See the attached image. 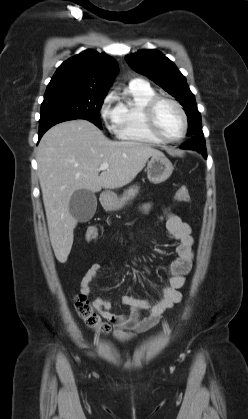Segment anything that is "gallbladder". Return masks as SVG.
<instances>
[{
	"instance_id": "obj_1",
	"label": "gallbladder",
	"mask_w": 248,
	"mask_h": 419,
	"mask_svg": "<svg viewBox=\"0 0 248 419\" xmlns=\"http://www.w3.org/2000/svg\"><path fill=\"white\" fill-rule=\"evenodd\" d=\"M96 207V195L87 189L75 191L69 202V211L78 222L89 221L94 216Z\"/></svg>"
}]
</instances>
